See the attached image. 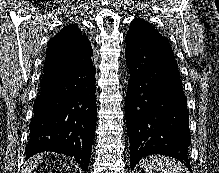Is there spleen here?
<instances>
[{
	"label": "spleen",
	"mask_w": 219,
	"mask_h": 173,
	"mask_svg": "<svg viewBox=\"0 0 219 173\" xmlns=\"http://www.w3.org/2000/svg\"><path fill=\"white\" fill-rule=\"evenodd\" d=\"M141 165L146 173H182L179 163L161 155L144 158Z\"/></svg>",
	"instance_id": "3e777b00"
}]
</instances>
